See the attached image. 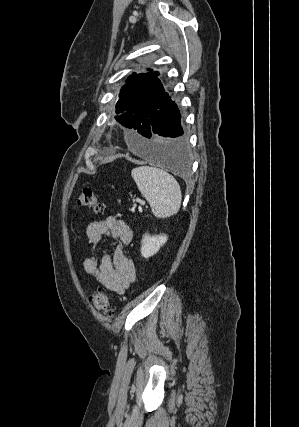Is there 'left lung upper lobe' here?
<instances>
[{"instance_id": "left-lung-upper-lobe-1", "label": "left lung upper lobe", "mask_w": 299, "mask_h": 427, "mask_svg": "<svg viewBox=\"0 0 299 427\" xmlns=\"http://www.w3.org/2000/svg\"><path fill=\"white\" fill-rule=\"evenodd\" d=\"M158 72L133 73L121 88L115 118L123 126L137 131L142 109L164 102L169 96L158 78ZM139 122V123H138Z\"/></svg>"}]
</instances>
